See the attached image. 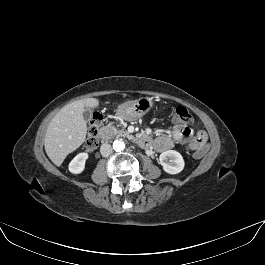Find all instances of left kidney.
Returning <instances> with one entry per match:
<instances>
[{
  "label": "left kidney",
  "instance_id": "obj_1",
  "mask_svg": "<svg viewBox=\"0 0 265 265\" xmlns=\"http://www.w3.org/2000/svg\"><path fill=\"white\" fill-rule=\"evenodd\" d=\"M159 160L163 170L169 174L180 173L185 165L182 155L175 150H168L161 153Z\"/></svg>",
  "mask_w": 265,
  "mask_h": 265
}]
</instances>
